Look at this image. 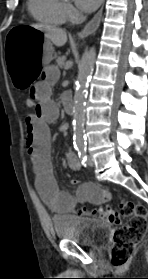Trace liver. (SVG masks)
Returning <instances> with one entry per match:
<instances>
[{"label":"liver","mask_w":148,"mask_h":279,"mask_svg":"<svg viewBox=\"0 0 148 279\" xmlns=\"http://www.w3.org/2000/svg\"><path fill=\"white\" fill-rule=\"evenodd\" d=\"M31 27L42 31L45 37L57 47H61L67 42V34L63 29L41 24H33Z\"/></svg>","instance_id":"obj_1"}]
</instances>
